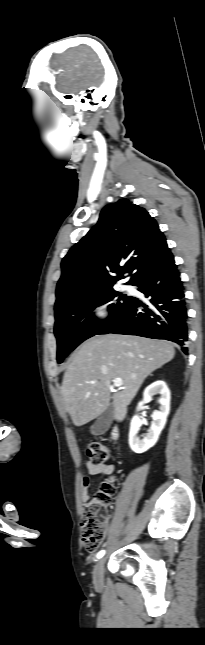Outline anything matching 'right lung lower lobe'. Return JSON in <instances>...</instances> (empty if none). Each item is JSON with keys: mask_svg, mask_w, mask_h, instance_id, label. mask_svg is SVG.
Returning a JSON list of instances; mask_svg holds the SVG:
<instances>
[{"mask_svg": "<svg viewBox=\"0 0 205 645\" xmlns=\"http://www.w3.org/2000/svg\"><path fill=\"white\" fill-rule=\"evenodd\" d=\"M131 285L150 296L147 304L132 297L117 321L101 334L115 333L165 339L188 353L187 308L174 257L141 273ZM138 307H143L138 312Z\"/></svg>", "mask_w": 205, "mask_h": 645, "instance_id": "98d812e1", "label": "right lung lower lobe"}]
</instances>
